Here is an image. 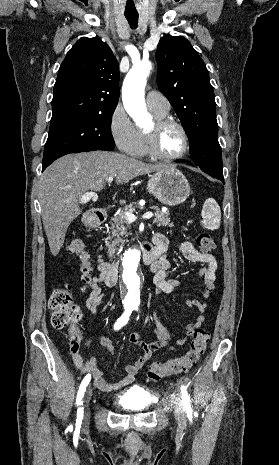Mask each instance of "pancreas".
I'll return each mask as SVG.
<instances>
[{"label":"pancreas","instance_id":"1","mask_svg":"<svg viewBox=\"0 0 279 465\" xmlns=\"http://www.w3.org/2000/svg\"><path fill=\"white\" fill-rule=\"evenodd\" d=\"M135 208H137L136 203L126 205L119 214L111 218V236L105 239V245L108 248L109 257H113L117 254V250L121 249L126 242V240L123 239V237L127 235V228L125 227L127 220L125 218V213L133 212ZM153 209L156 210L154 223L157 224V227H174L173 222L170 221L169 212H162L157 206H154Z\"/></svg>","mask_w":279,"mask_h":465}]
</instances>
